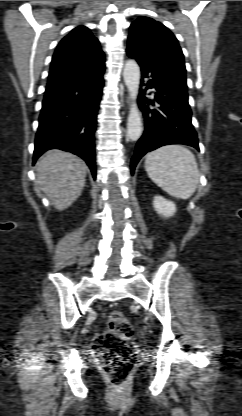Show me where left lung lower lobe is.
I'll use <instances>...</instances> for the list:
<instances>
[{
    "mask_svg": "<svg viewBox=\"0 0 242 416\" xmlns=\"http://www.w3.org/2000/svg\"><path fill=\"white\" fill-rule=\"evenodd\" d=\"M127 54L141 67V84H144V78H149L148 88L156 90L154 100H149L144 96L146 91L140 90L138 105L145 118V130L131 159L133 175L141 157L156 148L169 144H184L199 150V146L197 133L191 123L192 112L187 92L167 81L165 74L156 69L146 57L138 55L128 47Z\"/></svg>",
    "mask_w": 242,
    "mask_h": 416,
    "instance_id": "0a47b994",
    "label": "left lung lower lobe"
}]
</instances>
